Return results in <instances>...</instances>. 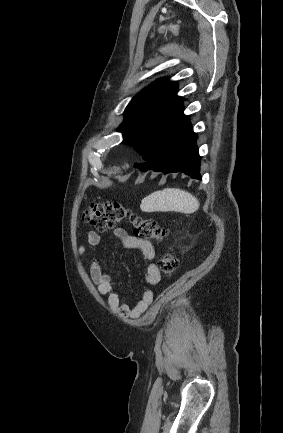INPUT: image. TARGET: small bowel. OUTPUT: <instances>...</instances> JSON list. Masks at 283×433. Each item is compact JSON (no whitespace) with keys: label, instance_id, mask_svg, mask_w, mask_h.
Instances as JSON below:
<instances>
[{"label":"small bowel","instance_id":"small-bowel-1","mask_svg":"<svg viewBox=\"0 0 283 433\" xmlns=\"http://www.w3.org/2000/svg\"><path fill=\"white\" fill-rule=\"evenodd\" d=\"M120 245L126 249H139L147 261L145 270V279L147 283L155 285L159 283L161 276L158 267L154 263L155 251L151 242L137 239L122 228L115 230ZM86 245H79L78 254L83 255L86 249H93L101 242V236L95 231H89L86 234ZM90 277L97 287V291L107 297L108 305L111 311L123 319L138 318L151 304L153 293L147 290L143 293L134 307H130L120 301L118 294L114 291V281L106 273L101 265L100 259L94 256L90 264Z\"/></svg>","mask_w":283,"mask_h":433}]
</instances>
